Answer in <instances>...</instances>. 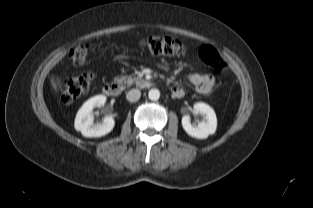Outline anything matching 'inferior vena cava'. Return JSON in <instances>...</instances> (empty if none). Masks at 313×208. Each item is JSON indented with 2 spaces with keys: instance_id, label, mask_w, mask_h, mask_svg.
<instances>
[{
  "instance_id": "602c4592",
  "label": "inferior vena cava",
  "mask_w": 313,
  "mask_h": 208,
  "mask_svg": "<svg viewBox=\"0 0 313 208\" xmlns=\"http://www.w3.org/2000/svg\"><path fill=\"white\" fill-rule=\"evenodd\" d=\"M141 92L138 89H132L126 94V98L130 102H136L140 99Z\"/></svg>"
}]
</instances>
